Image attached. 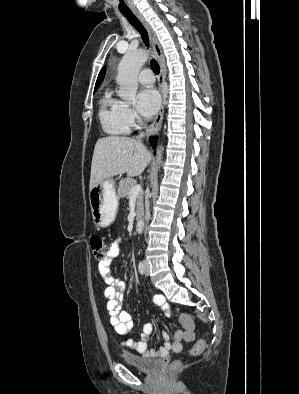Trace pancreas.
<instances>
[{
  "label": "pancreas",
  "mask_w": 299,
  "mask_h": 394,
  "mask_svg": "<svg viewBox=\"0 0 299 394\" xmlns=\"http://www.w3.org/2000/svg\"><path fill=\"white\" fill-rule=\"evenodd\" d=\"M136 185V181L132 178H125L123 179L118 187V196L128 197L130 195V190L132 187ZM143 210V193L140 192L137 196V218H139L140 214Z\"/></svg>",
  "instance_id": "obj_1"
}]
</instances>
